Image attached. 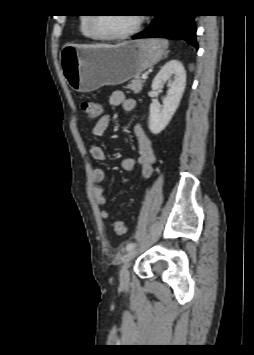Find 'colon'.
<instances>
[{
	"mask_svg": "<svg viewBox=\"0 0 254 355\" xmlns=\"http://www.w3.org/2000/svg\"><path fill=\"white\" fill-rule=\"evenodd\" d=\"M82 111L85 113L89 121H95L101 115V105L95 101H83L81 103ZM113 230L117 235H124L127 232L126 223L122 220L113 222Z\"/></svg>",
	"mask_w": 254,
	"mask_h": 355,
	"instance_id": "obj_1",
	"label": "colon"
}]
</instances>
